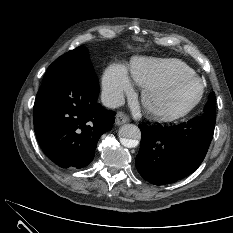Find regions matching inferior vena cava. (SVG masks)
Here are the masks:
<instances>
[{
  "label": "inferior vena cava",
  "instance_id": "obj_1",
  "mask_svg": "<svg viewBox=\"0 0 233 233\" xmlns=\"http://www.w3.org/2000/svg\"><path fill=\"white\" fill-rule=\"evenodd\" d=\"M101 101L108 108H117L125 103L124 95L116 92H102Z\"/></svg>",
  "mask_w": 233,
  "mask_h": 233
}]
</instances>
